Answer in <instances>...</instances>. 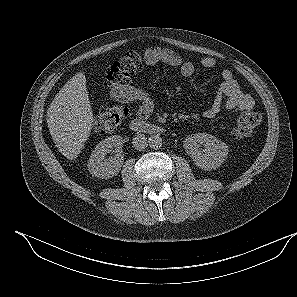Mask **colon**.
Returning a JSON list of instances; mask_svg holds the SVG:
<instances>
[{
	"label": "colon",
	"instance_id": "5ec220e1",
	"mask_svg": "<svg viewBox=\"0 0 297 297\" xmlns=\"http://www.w3.org/2000/svg\"><path fill=\"white\" fill-rule=\"evenodd\" d=\"M142 66V57L137 52H128L119 60L113 62L104 75V85L112 87L124 83L128 76ZM127 114L124 107L114 106L103 108L94 120V130L97 133H107L115 130ZM262 117L257 112H245L234 124L232 135L241 139L251 135L260 125Z\"/></svg>",
	"mask_w": 297,
	"mask_h": 297
}]
</instances>
